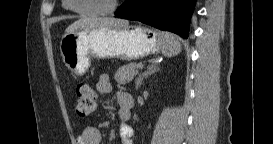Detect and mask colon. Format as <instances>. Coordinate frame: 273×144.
<instances>
[{
	"label": "colon",
	"instance_id": "1",
	"mask_svg": "<svg viewBox=\"0 0 273 144\" xmlns=\"http://www.w3.org/2000/svg\"><path fill=\"white\" fill-rule=\"evenodd\" d=\"M77 113L87 116L94 112L97 105V94L93 87L87 83H79L76 87Z\"/></svg>",
	"mask_w": 273,
	"mask_h": 144
}]
</instances>
